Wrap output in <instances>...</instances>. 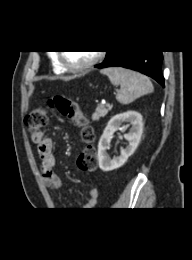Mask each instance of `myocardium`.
Instances as JSON below:
<instances>
[{
    "label": "myocardium",
    "instance_id": "myocardium-1",
    "mask_svg": "<svg viewBox=\"0 0 192 260\" xmlns=\"http://www.w3.org/2000/svg\"><path fill=\"white\" fill-rule=\"evenodd\" d=\"M101 59V53H96L95 56L89 60L88 62H86L85 64L79 65V66H73L70 65L66 62L65 57H64V53L63 52H59L58 54V60L61 64V66L70 72H74V73H78V72H82L85 71L91 67H93L94 65H96Z\"/></svg>",
    "mask_w": 192,
    "mask_h": 260
}]
</instances>
